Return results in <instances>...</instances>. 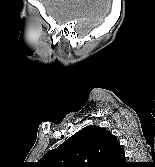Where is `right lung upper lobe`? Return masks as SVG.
<instances>
[{
  "label": "right lung upper lobe",
  "instance_id": "cb5924a9",
  "mask_svg": "<svg viewBox=\"0 0 155 167\" xmlns=\"http://www.w3.org/2000/svg\"><path fill=\"white\" fill-rule=\"evenodd\" d=\"M40 163L44 167H121L125 155L114 135L90 125L44 155Z\"/></svg>",
  "mask_w": 155,
  "mask_h": 167
}]
</instances>
